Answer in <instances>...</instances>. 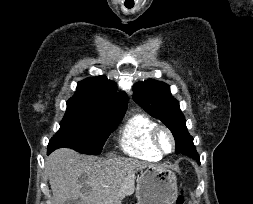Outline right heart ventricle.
I'll return each mask as SVG.
<instances>
[{
	"mask_svg": "<svg viewBox=\"0 0 253 204\" xmlns=\"http://www.w3.org/2000/svg\"><path fill=\"white\" fill-rule=\"evenodd\" d=\"M155 126V121L147 115L134 114L120 131V146L132 156L148 161L160 160L162 155L154 147L151 138Z\"/></svg>",
	"mask_w": 253,
	"mask_h": 204,
	"instance_id": "right-heart-ventricle-1",
	"label": "right heart ventricle"
}]
</instances>
